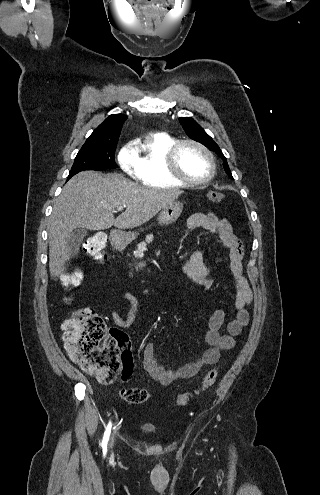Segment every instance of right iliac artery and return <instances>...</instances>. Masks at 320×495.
Segmentation results:
<instances>
[{
	"mask_svg": "<svg viewBox=\"0 0 320 495\" xmlns=\"http://www.w3.org/2000/svg\"><path fill=\"white\" fill-rule=\"evenodd\" d=\"M111 427H112V424H111V421L108 423L107 427H106V430H105V433H104V436H103V440H102V443H101V447L103 448V450H106L107 449V443H108V440H109V436H110V432H111Z\"/></svg>",
	"mask_w": 320,
	"mask_h": 495,
	"instance_id": "1",
	"label": "right iliac artery"
}]
</instances>
